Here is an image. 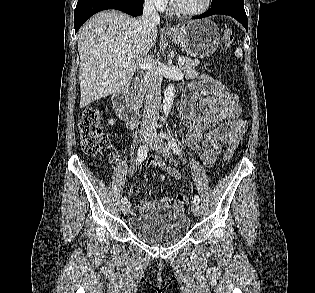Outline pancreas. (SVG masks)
I'll return each instance as SVG.
<instances>
[{"instance_id":"cf45deb5","label":"pancreas","mask_w":315,"mask_h":293,"mask_svg":"<svg viewBox=\"0 0 315 293\" xmlns=\"http://www.w3.org/2000/svg\"><path fill=\"white\" fill-rule=\"evenodd\" d=\"M198 64L199 62L197 60L185 58V62L180 63L179 68L183 72L186 79H194L198 75V72L195 69ZM153 75L157 76L155 74ZM144 90H145V84H144V81H142L138 86L137 93L132 95L133 103L139 104L142 101L145 94Z\"/></svg>"}]
</instances>
